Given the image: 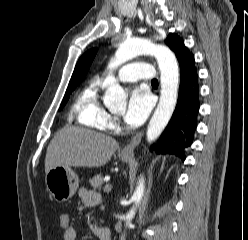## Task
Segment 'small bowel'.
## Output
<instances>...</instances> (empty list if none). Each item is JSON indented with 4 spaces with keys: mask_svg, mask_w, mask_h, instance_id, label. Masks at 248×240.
I'll use <instances>...</instances> for the list:
<instances>
[{
    "mask_svg": "<svg viewBox=\"0 0 248 240\" xmlns=\"http://www.w3.org/2000/svg\"><path fill=\"white\" fill-rule=\"evenodd\" d=\"M79 197L83 208L97 206L102 201L99 193L86 188H81L79 190ZM76 238L77 230L73 226H70L68 229L63 231L62 240H76Z\"/></svg>",
    "mask_w": 248,
    "mask_h": 240,
    "instance_id": "1",
    "label": "small bowel"
}]
</instances>
